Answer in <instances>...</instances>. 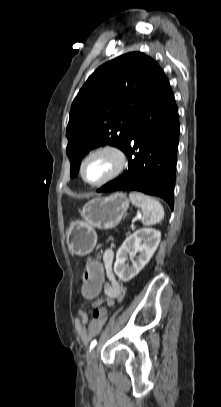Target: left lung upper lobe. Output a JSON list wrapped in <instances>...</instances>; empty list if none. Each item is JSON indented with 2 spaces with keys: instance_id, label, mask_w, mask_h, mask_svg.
Wrapping results in <instances>:
<instances>
[{
  "instance_id": "obj_1",
  "label": "left lung upper lobe",
  "mask_w": 221,
  "mask_h": 407,
  "mask_svg": "<svg viewBox=\"0 0 221 407\" xmlns=\"http://www.w3.org/2000/svg\"><path fill=\"white\" fill-rule=\"evenodd\" d=\"M165 77L160 66L141 52L100 66L74 99L66 134L70 176L91 149L110 144L123 151L138 114Z\"/></svg>"
}]
</instances>
